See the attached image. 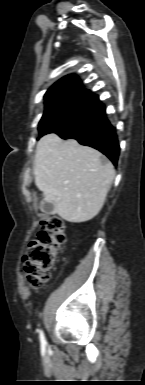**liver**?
<instances>
[{"mask_svg": "<svg viewBox=\"0 0 145 385\" xmlns=\"http://www.w3.org/2000/svg\"><path fill=\"white\" fill-rule=\"evenodd\" d=\"M34 175L43 201L53 203L55 213L64 220L81 223L102 209L115 170L96 149L50 133L37 143Z\"/></svg>", "mask_w": 145, "mask_h": 385, "instance_id": "1", "label": "liver"}]
</instances>
